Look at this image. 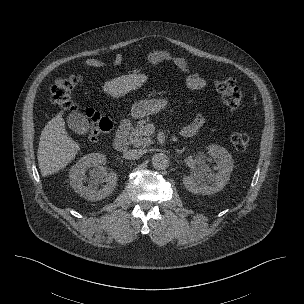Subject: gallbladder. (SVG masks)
<instances>
[{
    "mask_svg": "<svg viewBox=\"0 0 304 304\" xmlns=\"http://www.w3.org/2000/svg\"><path fill=\"white\" fill-rule=\"evenodd\" d=\"M68 127L77 134H86L89 130V121L85 115L74 112L67 118Z\"/></svg>",
    "mask_w": 304,
    "mask_h": 304,
    "instance_id": "obj_1",
    "label": "gallbladder"
}]
</instances>
